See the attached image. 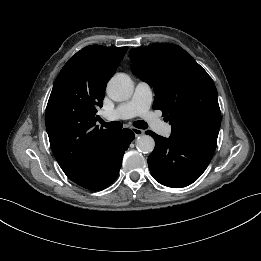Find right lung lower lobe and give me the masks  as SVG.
<instances>
[{
    "label": "right lung lower lobe",
    "instance_id": "98d812e1",
    "mask_svg": "<svg viewBox=\"0 0 261 261\" xmlns=\"http://www.w3.org/2000/svg\"><path fill=\"white\" fill-rule=\"evenodd\" d=\"M133 139L134 133L129 129L115 131L103 147L98 160L72 181L93 191L108 187L117 178L124 152Z\"/></svg>",
    "mask_w": 261,
    "mask_h": 261
}]
</instances>
